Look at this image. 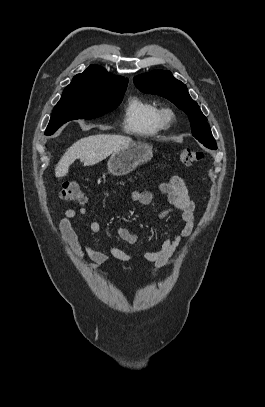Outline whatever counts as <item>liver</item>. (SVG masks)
<instances>
[{"label":"liver","instance_id":"6515ba94","mask_svg":"<svg viewBox=\"0 0 265 407\" xmlns=\"http://www.w3.org/2000/svg\"><path fill=\"white\" fill-rule=\"evenodd\" d=\"M130 137L121 135H92L82 138L69 147L55 167V176H66L70 165L80 159L84 166H91L106 159L114 151L132 143Z\"/></svg>","mask_w":265,"mask_h":407}]
</instances>
